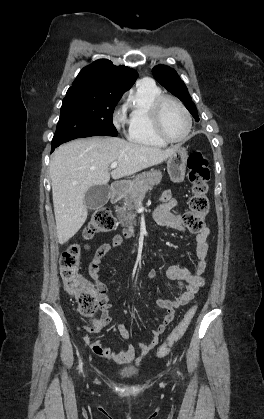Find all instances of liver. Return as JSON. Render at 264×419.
<instances>
[{"label":"liver","mask_w":264,"mask_h":419,"mask_svg":"<svg viewBox=\"0 0 264 419\" xmlns=\"http://www.w3.org/2000/svg\"><path fill=\"white\" fill-rule=\"evenodd\" d=\"M175 147L159 149L117 137L77 139L59 146L50 162V178L59 243L65 244L87 219L84 197L95 185H106L169 158ZM118 165L111 172L109 166Z\"/></svg>","instance_id":"obj_1"}]
</instances>
